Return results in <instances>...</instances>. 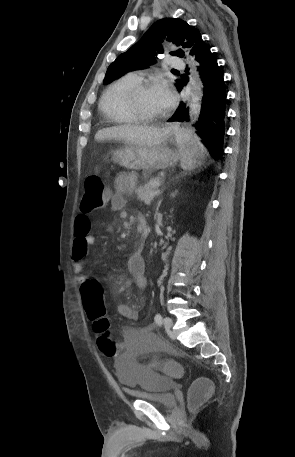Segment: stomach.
<instances>
[{
	"label": "stomach",
	"mask_w": 295,
	"mask_h": 457,
	"mask_svg": "<svg viewBox=\"0 0 295 457\" xmlns=\"http://www.w3.org/2000/svg\"><path fill=\"white\" fill-rule=\"evenodd\" d=\"M177 141L176 131L167 127L163 141L153 146L126 144L112 151V160L123 167L145 171L165 169L174 165L179 154L169 148Z\"/></svg>",
	"instance_id": "obj_1"
}]
</instances>
